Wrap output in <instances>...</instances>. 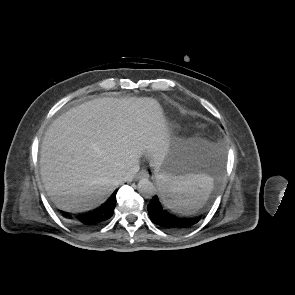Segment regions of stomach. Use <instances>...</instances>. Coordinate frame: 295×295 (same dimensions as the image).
I'll return each instance as SVG.
<instances>
[{
	"instance_id": "1",
	"label": "stomach",
	"mask_w": 295,
	"mask_h": 295,
	"mask_svg": "<svg viewBox=\"0 0 295 295\" xmlns=\"http://www.w3.org/2000/svg\"><path fill=\"white\" fill-rule=\"evenodd\" d=\"M210 146L199 140L183 141L171 148L165 159L155 168L157 175L173 177L207 174L209 164L206 158Z\"/></svg>"
}]
</instances>
